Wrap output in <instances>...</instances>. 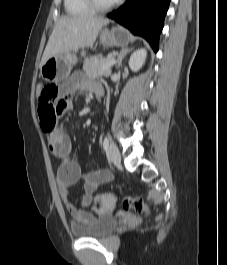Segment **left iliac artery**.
<instances>
[{
    "label": "left iliac artery",
    "mask_w": 227,
    "mask_h": 265,
    "mask_svg": "<svg viewBox=\"0 0 227 265\" xmlns=\"http://www.w3.org/2000/svg\"><path fill=\"white\" fill-rule=\"evenodd\" d=\"M103 147L105 150H107L109 147V137L108 136H105V138H104Z\"/></svg>",
    "instance_id": "44dca946"
}]
</instances>
